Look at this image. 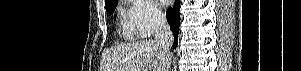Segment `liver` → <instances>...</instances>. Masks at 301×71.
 Here are the masks:
<instances>
[{
  "label": "liver",
  "instance_id": "6515ba94",
  "mask_svg": "<svg viewBox=\"0 0 301 71\" xmlns=\"http://www.w3.org/2000/svg\"><path fill=\"white\" fill-rule=\"evenodd\" d=\"M171 60V55L167 57ZM164 56L155 40L122 44L102 54L101 71H164Z\"/></svg>",
  "mask_w": 301,
  "mask_h": 71
}]
</instances>
